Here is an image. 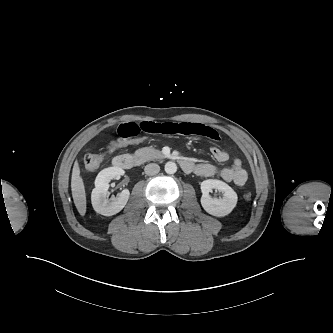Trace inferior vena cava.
I'll return each instance as SVG.
<instances>
[{"mask_svg": "<svg viewBox=\"0 0 333 333\" xmlns=\"http://www.w3.org/2000/svg\"><path fill=\"white\" fill-rule=\"evenodd\" d=\"M144 171L147 175H155V174L159 173L160 167L156 163H150L145 166Z\"/></svg>", "mask_w": 333, "mask_h": 333, "instance_id": "1", "label": "inferior vena cava"}]
</instances>
